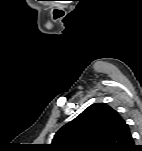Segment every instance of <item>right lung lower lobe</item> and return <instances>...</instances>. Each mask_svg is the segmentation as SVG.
I'll use <instances>...</instances> for the list:
<instances>
[{"mask_svg": "<svg viewBox=\"0 0 142 151\" xmlns=\"http://www.w3.org/2000/svg\"><path fill=\"white\" fill-rule=\"evenodd\" d=\"M133 147H134V148L130 149V151H134V150H140V151H142V146L136 147V146L134 145Z\"/></svg>", "mask_w": 142, "mask_h": 151, "instance_id": "1", "label": "right lung lower lobe"}]
</instances>
